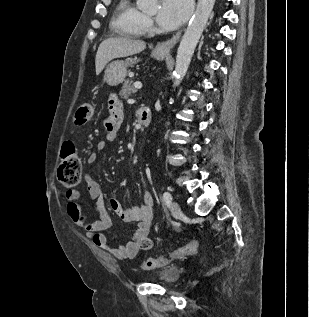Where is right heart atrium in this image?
Masks as SVG:
<instances>
[{"label": "right heart atrium", "instance_id": "d8ad5b80", "mask_svg": "<svg viewBox=\"0 0 309 317\" xmlns=\"http://www.w3.org/2000/svg\"><path fill=\"white\" fill-rule=\"evenodd\" d=\"M142 26L144 28H150L152 26V20L148 16L144 15L142 19Z\"/></svg>", "mask_w": 309, "mask_h": 317}]
</instances>
